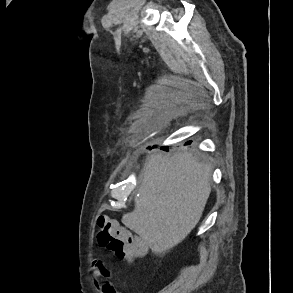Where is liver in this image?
<instances>
[{
  "instance_id": "liver-1",
  "label": "liver",
  "mask_w": 293,
  "mask_h": 293,
  "mask_svg": "<svg viewBox=\"0 0 293 293\" xmlns=\"http://www.w3.org/2000/svg\"><path fill=\"white\" fill-rule=\"evenodd\" d=\"M211 173L209 164L188 152L152 155L135 196V209L123 215V224L154 252L169 251L199 222L211 192Z\"/></svg>"
}]
</instances>
